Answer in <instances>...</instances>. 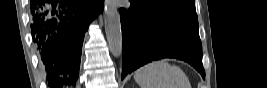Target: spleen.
<instances>
[{
  "instance_id": "1",
  "label": "spleen",
  "mask_w": 267,
  "mask_h": 88,
  "mask_svg": "<svg viewBox=\"0 0 267 88\" xmlns=\"http://www.w3.org/2000/svg\"><path fill=\"white\" fill-rule=\"evenodd\" d=\"M134 79L140 88H191L182 69L165 60L154 61L139 68Z\"/></svg>"
}]
</instances>
